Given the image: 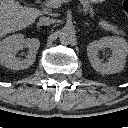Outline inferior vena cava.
Here are the masks:
<instances>
[{"label": "inferior vena cava", "mask_w": 128, "mask_h": 128, "mask_svg": "<svg viewBox=\"0 0 128 128\" xmlns=\"http://www.w3.org/2000/svg\"><path fill=\"white\" fill-rule=\"evenodd\" d=\"M55 21L53 18H50V17H46V16H42L40 17L39 19V24L40 25H44V26H47V25H51L53 24Z\"/></svg>", "instance_id": "inferior-vena-cava-1"}]
</instances>
